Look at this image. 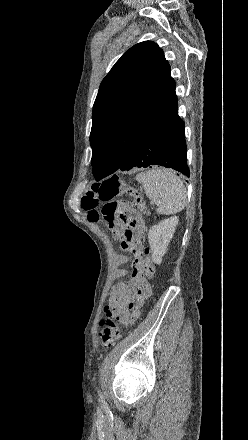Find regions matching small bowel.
I'll list each match as a JSON object with an SVG mask.
<instances>
[{"instance_id":"c3829d8e","label":"small bowel","mask_w":248,"mask_h":440,"mask_svg":"<svg viewBox=\"0 0 248 440\" xmlns=\"http://www.w3.org/2000/svg\"><path fill=\"white\" fill-rule=\"evenodd\" d=\"M123 208L128 212L129 217L126 223H117L112 230L116 234L122 235V248L134 256L131 283L128 285L121 282L116 285L110 294L108 309L119 313L121 320L124 321L125 329L128 330L136 323L144 300L151 293V288L142 273L141 238L145 231V225L141 220L132 217L128 203H123ZM127 261L128 258L125 255H118L115 258L118 265ZM120 273L123 274L124 271H120ZM129 310H132L131 314Z\"/></svg>"}]
</instances>
